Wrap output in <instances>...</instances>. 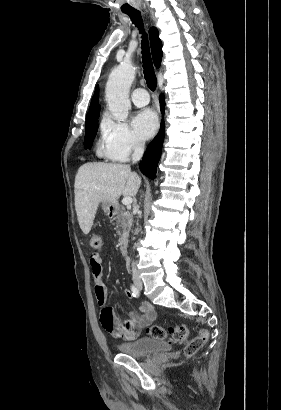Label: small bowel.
<instances>
[{
    "instance_id": "c3829d8e",
    "label": "small bowel",
    "mask_w": 281,
    "mask_h": 410,
    "mask_svg": "<svg viewBox=\"0 0 281 410\" xmlns=\"http://www.w3.org/2000/svg\"><path fill=\"white\" fill-rule=\"evenodd\" d=\"M89 262L97 303L101 308V322L103 319V312L106 310L111 311V326L104 327L105 330L114 338L127 341L135 340L138 337L140 330L154 321L156 318V309L153 305L145 303L139 308L140 315L131 317L125 321L118 320L114 316L112 309L107 307L108 296L107 287L102 275V258L98 254H92ZM124 295L127 298H132L133 292L131 289H125Z\"/></svg>"
}]
</instances>
